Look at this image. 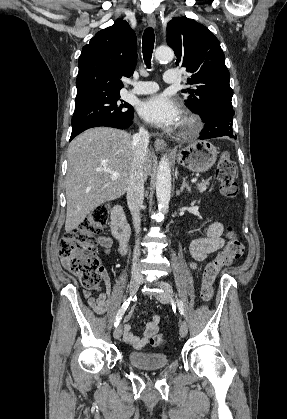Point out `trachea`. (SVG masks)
Listing matches in <instances>:
<instances>
[{"instance_id": "1", "label": "trachea", "mask_w": 287, "mask_h": 419, "mask_svg": "<svg viewBox=\"0 0 287 419\" xmlns=\"http://www.w3.org/2000/svg\"><path fill=\"white\" fill-rule=\"evenodd\" d=\"M155 34L154 30L149 27L144 31L142 38L143 58L148 68L151 67V57L154 49Z\"/></svg>"}]
</instances>
